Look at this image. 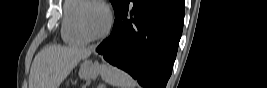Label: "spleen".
Segmentation results:
<instances>
[{"label":"spleen","instance_id":"1","mask_svg":"<svg viewBox=\"0 0 267 88\" xmlns=\"http://www.w3.org/2000/svg\"><path fill=\"white\" fill-rule=\"evenodd\" d=\"M101 75L106 83L115 88H136L137 86L129 74L111 65H102Z\"/></svg>","mask_w":267,"mask_h":88}]
</instances>
